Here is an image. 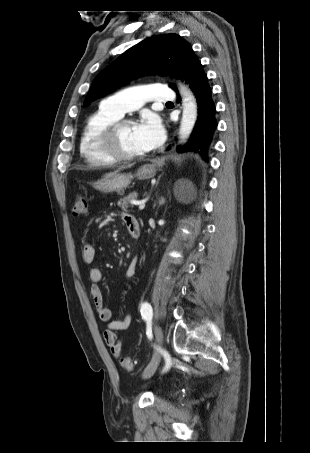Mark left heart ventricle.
<instances>
[{
    "instance_id": "1",
    "label": "left heart ventricle",
    "mask_w": 310,
    "mask_h": 453,
    "mask_svg": "<svg viewBox=\"0 0 310 453\" xmlns=\"http://www.w3.org/2000/svg\"><path fill=\"white\" fill-rule=\"evenodd\" d=\"M135 124H129L123 127L119 133V145L121 150L126 154H142L146 150L142 147L135 135Z\"/></svg>"
}]
</instances>
